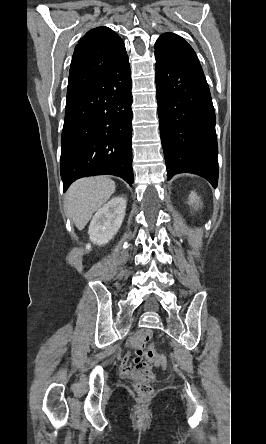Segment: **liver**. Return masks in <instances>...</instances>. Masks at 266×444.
Returning a JSON list of instances; mask_svg holds the SVG:
<instances>
[{
  "label": "liver",
  "instance_id": "1",
  "mask_svg": "<svg viewBox=\"0 0 266 444\" xmlns=\"http://www.w3.org/2000/svg\"><path fill=\"white\" fill-rule=\"evenodd\" d=\"M115 182L105 176L75 181L66 193V211L78 230H82L93 214L115 192Z\"/></svg>",
  "mask_w": 266,
  "mask_h": 444
}]
</instances>
